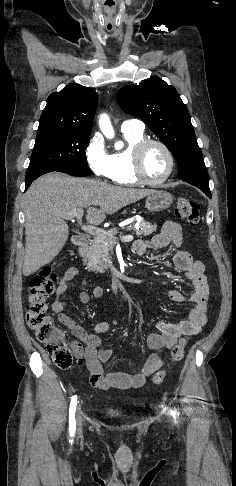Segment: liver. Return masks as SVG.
Masks as SVG:
<instances>
[{"instance_id": "liver-1", "label": "liver", "mask_w": 236, "mask_h": 486, "mask_svg": "<svg viewBox=\"0 0 236 486\" xmlns=\"http://www.w3.org/2000/svg\"><path fill=\"white\" fill-rule=\"evenodd\" d=\"M153 191L114 186L58 172L38 178L24 196L26 244L23 275L27 277L50 263L65 245L68 225L63 214L86 208L87 222L99 225L106 215L114 214Z\"/></svg>"}]
</instances>
